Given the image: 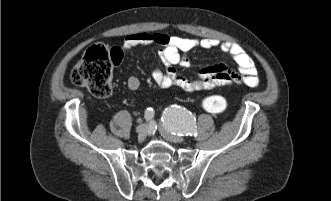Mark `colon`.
<instances>
[{"mask_svg":"<svg viewBox=\"0 0 331 201\" xmlns=\"http://www.w3.org/2000/svg\"><path fill=\"white\" fill-rule=\"evenodd\" d=\"M121 58L118 49H107L103 45L90 46L83 58L75 65L71 72L72 82L87 88L97 97H107L112 91L113 64ZM202 108L213 114L225 112L229 101L220 95L208 96L202 100Z\"/></svg>","mask_w":331,"mask_h":201,"instance_id":"obj_1","label":"colon"}]
</instances>
